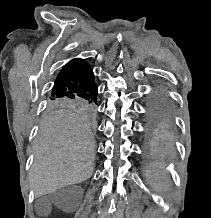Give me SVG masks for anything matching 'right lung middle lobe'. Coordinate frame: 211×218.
<instances>
[{
	"mask_svg": "<svg viewBox=\"0 0 211 218\" xmlns=\"http://www.w3.org/2000/svg\"><path fill=\"white\" fill-rule=\"evenodd\" d=\"M46 105L47 109L50 111L80 109L89 113H93L96 111L98 103L79 97H49Z\"/></svg>",
	"mask_w": 211,
	"mask_h": 218,
	"instance_id": "1",
	"label": "right lung middle lobe"
}]
</instances>
